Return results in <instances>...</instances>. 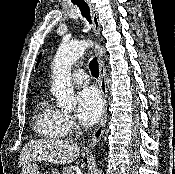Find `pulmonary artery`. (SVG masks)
Returning <instances> with one entry per match:
<instances>
[{"instance_id":"1","label":"pulmonary artery","mask_w":175,"mask_h":174,"mask_svg":"<svg viewBox=\"0 0 175 174\" xmlns=\"http://www.w3.org/2000/svg\"><path fill=\"white\" fill-rule=\"evenodd\" d=\"M71 79L77 85H86L89 82V77L84 70H75Z\"/></svg>"}]
</instances>
